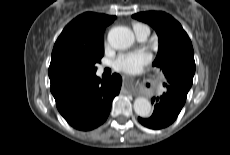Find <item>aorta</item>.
<instances>
[{"label": "aorta", "mask_w": 230, "mask_h": 155, "mask_svg": "<svg viewBox=\"0 0 230 155\" xmlns=\"http://www.w3.org/2000/svg\"><path fill=\"white\" fill-rule=\"evenodd\" d=\"M108 42L115 49H127L134 43V34L128 27L115 26L108 33ZM134 111L140 117H149L152 113V106L148 99L137 97L134 100Z\"/></svg>", "instance_id": "762f6f07"}]
</instances>
